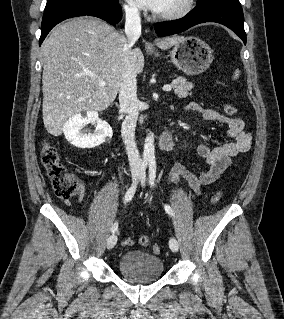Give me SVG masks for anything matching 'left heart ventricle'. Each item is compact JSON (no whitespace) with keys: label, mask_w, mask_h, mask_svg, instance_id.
Returning <instances> with one entry per match:
<instances>
[{"label":"left heart ventricle","mask_w":284,"mask_h":319,"mask_svg":"<svg viewBox=\"0 0 284 319\" xmlns=\"http://www.w3.org/2000/svg\"><path fill=\"white\" fill-rule=\"evenodd\" d=\"M185 0H163L162 5L157 13L165 14L179 9Z\"/></svg>","instance_id":"left-heart-ventricle-1"}]
</instances>
